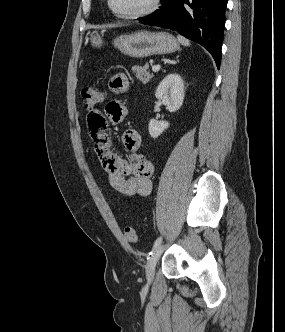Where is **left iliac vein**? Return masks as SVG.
<instances>
[{"instance_id":"4c4485c4","label":"left iliac vein","mask_w":285,"mask_h":332,"mask_svg":"<svg viewBox=\"0 0 285 332\" xmlns=\"http://www.w3.org/2000/svg\"><path fill=\"white\" fill-rule=\"evenodd\" d=\"M165 250V245L160 244L156 249L152 257L149 259L146 265V277L148 281L154 278L156 264L159 261L163 251Z\"/></svg>"}]
</instances>
